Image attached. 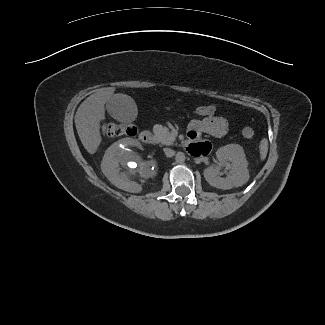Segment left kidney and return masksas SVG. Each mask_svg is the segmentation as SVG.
<instances>
[{"mask_svg":"<svg viewBox=\"0 0 325 325\" xmlns=\"http://www.w3.org/2000/svg\"><path fill=\"white\" fill-rule=\"evenodd\" d=\"M216 165H211L203 172L206 181L219 189H231L240 187L249 180L247 160L243 148L238 144H229L219 148L216 152ZM221 167H227L231 174L220 177Z\"/></svg>","mask_w":325,"mask_h":325,"instance_id":"5707ae66","label":"left kidney"}]
</instances>
